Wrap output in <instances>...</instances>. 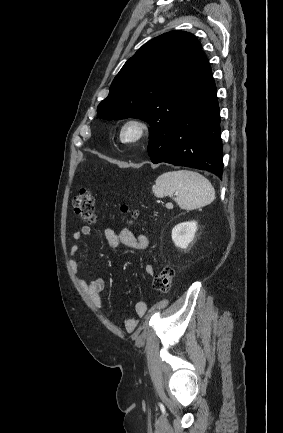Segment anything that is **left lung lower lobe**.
<instances>
[{"mask_svg": "<svg viewBox=\"0 0 283 433\" xmlns=\"http://www.w3.org/2000/svg\"><path fill=\"white\" fill-rule=\"evenodd\" d=\"M216 94L208 63L200 78L197 110L150 132L148 155L153 163L193 167L222 178V140Z\"/></svg>", "mask_w": 283, "mask_h": 433, "instance_id": "1", "label": "left lung lower lobe"}]
</instances>
